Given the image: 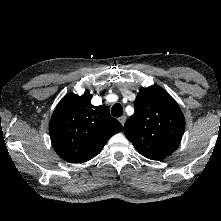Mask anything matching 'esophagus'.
I'll list each match as a JSON object with an SVG mask.
<instances>
[{
	"label": "esophagus",
	"instance_id": "esophagus-1",
	"mask_svg": "<svg viewBox=\"0 0 221 221\" xmlns=\"http://www.w3.org/2000/svg\"><path fill=\"white\" fill-rule=\"evenodd\" d=\"M126 119H127V117H126L125 115H123V116H121L118 120H119V122H120L122 125H124L125 122H126Z\"/></svg>",
	"mask_w": 221,
	"mask_h": 221
}]
</instances>
